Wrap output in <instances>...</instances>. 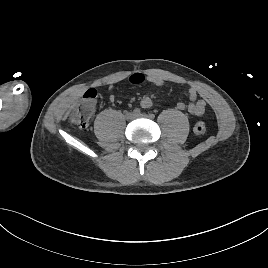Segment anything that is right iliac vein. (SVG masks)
Wrapping results in <instances>:
<instances>
[{
    "instance_id": "1",
    "label": "right iliac vein",
    "mask_w": 268,
    "mask_h": 268,
    "mask_svg": "<svg viewBox=\"0 0 268 268\" xmlns=\"http://www.w3.org/2000/svg\"><path fill=\"white\" fill-rule=\"evenodd\" d=\"M136 117V115L132 112L126 113V119L127 120H133Z\"/></svg>"
}]
</instances>
